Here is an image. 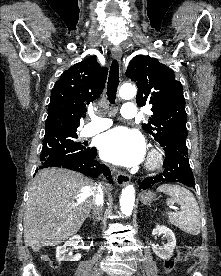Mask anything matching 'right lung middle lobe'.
Returning a JSON list of instances; mask_svg holds the SVG:
<instances>
[{"instance_id":"1","label":"right lung middle lobe","mask_w":221,"mask_h":276,"mask_svg":"<svg viewBox=\"0 0 221 276\" xmlns=\"http://www.w3.org/2000/svg\"><path fill=\"white\" fill-rule=\"evenodd\" d=\"M76 132H54L44 135L40 161L59 159L68 156H82L90 152L81 143L75 141Z\"/></svg>"}]
</instances>
